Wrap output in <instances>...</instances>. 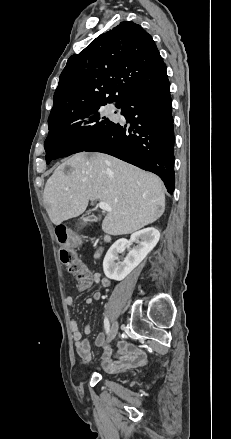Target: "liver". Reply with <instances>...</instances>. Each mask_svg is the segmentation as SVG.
<instances>
[{
    "mask_svg": "<svg viewBox=\"0 0 231 439\" xmlns=\"http://www.w3.org/2000/svg\"><path fill=\"white\" fill-rule=\"evenodd\" d=\"M43 198L55 225L81 215L89 200L109 204L112 211L103 219L102 229L114 236L143 228L165 210L164 185L158 176L103 153L81 152L66 159L47 180Z\"/></svg>",
    "mask_w": 231,
    "mask_h": 439,
    "instance_id": "1",
    "label": "liver"
}]
</instances>
